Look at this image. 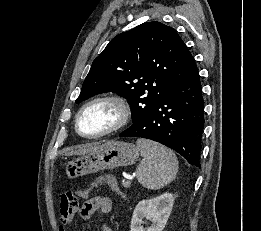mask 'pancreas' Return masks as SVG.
I'll return each instance as SVG.
<instances>
[{"instance_id": "1", "label": "pancreas", "mask_w": 261, "mask_h": 231, "mask_svg": "<svg viewBox=\"0 0 261 231\" xmlns=\"http://www.w3.org/2000/svg\"><path fill=\"white\" fill-rule=\"evenodd\" d=\"M123 185H124V187H129V186H130V184L128 185V184H126V183H124Z\"/></svg>"}]
</instances>
